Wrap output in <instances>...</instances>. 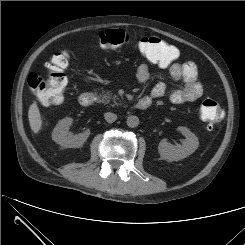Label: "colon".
Here are the masks:
<instances>
[{
    "instance_id": "obj_1",
    "label": "colon",
    "mask_w": 245,
    "mask_h": 245,
    "mask_svg": "<svg viewBox=\"0 0 245 245\" xmlns=\"http://www.w3.org/2000/svg\"><path fill=\"white\" fill-rule=\"evenodd\" d=\"M130 35L123 29H110L99 34L100 45L105 48H117L127 44ZM140 53L150 62L159 66H168L177 58L176 49L158 37L147 36L139 40ZM67 60L63 53H58L49 63V74L46 78L37 73L28 76V86L37 100L44 105L58 104L64 98L67 78L64 70ZM200 114L207 129L212 130L222 119L223 113L220 104L214 99L202 102Z\"/></svg>"
}]
</instances>
